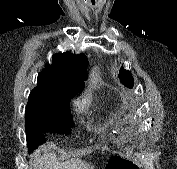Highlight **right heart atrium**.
<instances>
[{"mask_svg": "<svg viewBox=\"0 0 177 169\" xmlns=\"http://www.w3.org/2000/svg\"><path fill=\"white\" fill-rule=\"evenodd\" d=\"M78 111H83L86 108V99H80L75 102Z\"/></svg>", "mask_w": 177, "mask_h": 169, "instance_id": "right-heart-atrium-1", "label": "right heart atrium"}]
</instances>
